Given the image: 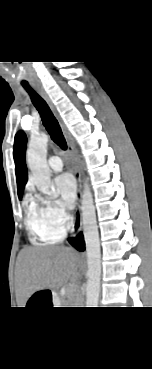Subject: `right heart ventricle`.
I'll return each instance as SVG.
<instances>
[{
  "mask_svg": "<svg viewBox=\"0 0 152 369\" xmlns=\"http://www.w3.org/2000/svg\"><path fill=\"white\" fill-rule=\"evenodd\" d=\"M25 224L34 244L55 241L63 235L53 233L40 207L32 198L27 199Z\"/></svg>",
  "mask_w": 152,
  "mask_h": 369,
  "instance_id": "right-heart-ventricle-1",
  "label": "right heart ventricle"
}]
</instances>
